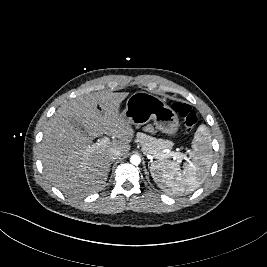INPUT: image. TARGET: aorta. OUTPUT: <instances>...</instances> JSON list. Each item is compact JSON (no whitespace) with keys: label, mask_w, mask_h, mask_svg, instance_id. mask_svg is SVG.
<instances>
[{"label":"aorta","mask_w":267,"mask_h":267,"mask_svg":"<svg viewBox=\"0 0 267 267\" xmlns=\"http://www.w3.org/2000/svg\"><path fill=\"white\" fill-rule=\"evenodd\" d=\"M130 162H131L133 165H139L140 162H141V158H140V156H138V155H132L131 158H130Z\"/></svg>","instance_id":"762f6f07"}]
</instances>
